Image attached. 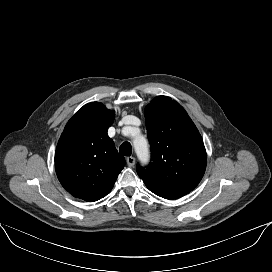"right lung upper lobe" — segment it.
<instances>
[{"label": "right lung upper lobe", "instance_id": "right-lung-upper-lobe-1", "mask_svg": "<svg viewBox=\"0 0 272 272\" xmlns=\"http://www.w3.org/2000/svg\"><path fill=\"white\" fill-rule=\"evenodd\" d=\"M114 111L102 103L83 106L67 123L55 153L62 186L74 197L93 202L107 195L125 165L107 130Z\"/></svg>", "mask_w": 272, "mask_h": 272}]
</instances>
